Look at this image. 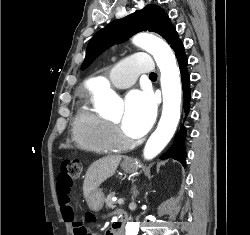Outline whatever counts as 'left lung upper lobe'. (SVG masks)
Wrapping results in <instances>:
<instances>
[{
	"label": "left lung upper lobe",
	"mask_w": 250,
	"mask_h": 235,
	"mask_svg": "<svg viewBox=\"0 0 250 235\" xmlns=\"http://www.w3.org/2000/svg\"><path fill=\"white\" fill-rule=\"evenodd\" d=\"M147 30L160 34L169 44L177 35L168 15L159 6L149 4L142 10L115 20L99 30L88 42L82 69L110 46L127 40L137 32Z\"/></svg>",
	"instance_id": "1"
}]
</instances>
